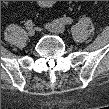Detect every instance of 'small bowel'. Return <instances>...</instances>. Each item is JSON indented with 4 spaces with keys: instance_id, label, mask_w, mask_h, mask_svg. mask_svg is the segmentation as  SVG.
<instances>
[{
    "instance_id": "obj_1",
    "label": "small bowel",
    "mask_w": 109,
    "mask_h": 109,
    "mask_svg": "<svg viewBox=\"0 0 109 109\" xmlns=\"http://www.w3.org/2000/svg\"><path fill=\"white\" fill-rule=\"evenodd\" d=\"M38 4L42 8H50L53 6L54 1H39Z\"/></svg>"
}]
</instances>
